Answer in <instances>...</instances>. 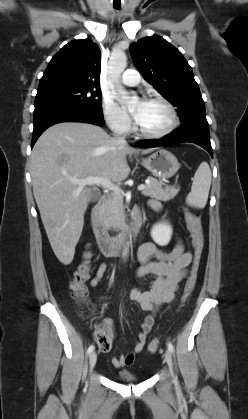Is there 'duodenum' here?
I'll use <instances>...</instances> for the list:
<instances>
[{"instance_id": "duodenum-1", "label": "duodenum", "mask_w": 248, "mask_h": 419, "mask_svg": "<svg viewBox=\"0 0 248 419\" xmlns=\"http://www.w3.org/2000/svg\"><path fill=\"white\" fill-rule=\"evenodd\" d=\"M105 203L106 199L103 195L93 206L91 227L101 252L105 256H114L124 251L132 239L138 234L143 218L141 211L136 209L133 212L132 223L129 229L118 236H110L104 220Z\"/></svg>"}]
</instances>
